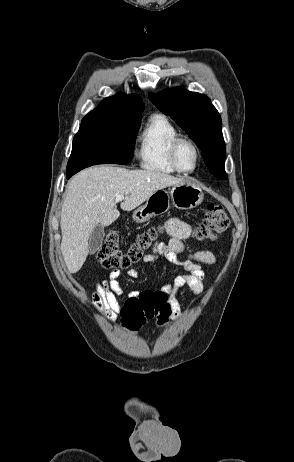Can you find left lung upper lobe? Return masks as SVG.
I'll use <instances>...</instances> for the list:
<instances>
[{"instance_id":"left-lung-upper-lobe-1","label":"left lung upper lobe","mask_w":294,"mask_h":462,"mask_svg":"<svg viewBox=\"0 0 294 462\" xmlns=\"http://www.w3.org/2000/svg\"><path fill=\"white\" fill-rule=\"evenodd\" d=\"M151 102L186 131L202 150L209 171L220 179L227 178L224 170L226 146L222 135V121L210 99L182 88L149 94Z\"/></svg>"}]
</instances>
